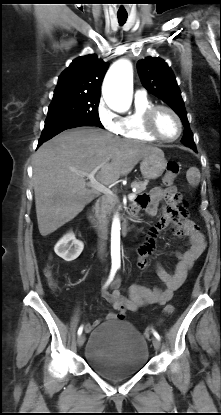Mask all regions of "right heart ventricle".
<instances>
[{
	"label": "right heart ventricle",
	"instance_id": "right-heart-ventricle-1",
	"mask_svg": "<svg viewBox=\"0 0 221 415\" xmlns=\"http://www.w3.org/2000/svg\"><path fill=\"white\" fill-rule=\"evenodd\" d=\"M153 102L144 97H135L134 111L121 117V129L119 135L124 138L136 139L140 141H155L156 139L149 135L143 126V116L145 111L151 107Z\"/></svg>",
	"mask_w": 221,
	"mask_h": 415
}]
</instances>
